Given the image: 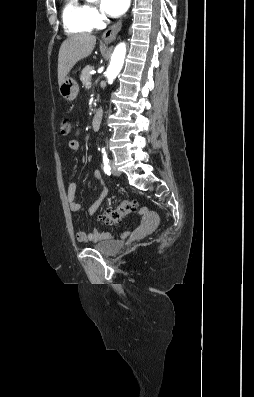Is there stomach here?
Listing matches in <instances>:
<instances>
[{
	"instance_id": "stomach-1",
	"label": "stomach",
	"mask_w": 254,
	"mask_h": 397,
	"mask_svg": "<svg viewBox=\"0 0 254 397\" xmlns=\"http://www.w3.org/2000/svg\"><path fill=\"white\" fill-rule=\"evenodd\" d=\"M78 92L79 85L72 77H65L64 81L59 85V93L67 101L75 100Z\"/></svg>"
}]
</instances>
